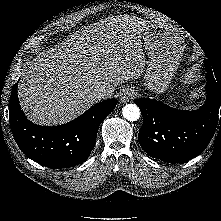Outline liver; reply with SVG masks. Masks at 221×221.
<instances>
[{
	"instance_id": "1",
	"label": "liver",
	"mask_w": 221,
	"mask_h": 221,
	"mask_svg": "<svg viewBox=\"0 0 221 221\" xmlns=\"http://www.w3.org/2000/svg\"><path fill=\"white\" fill-rule=\"evenodd\" d=\"M146 22L117 16L85 26L23 67L18 97L27 117L39 125H60L97 103L91 93L141 75L140 33Z\"/></svg>"
}]
</instances>
